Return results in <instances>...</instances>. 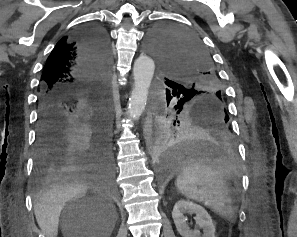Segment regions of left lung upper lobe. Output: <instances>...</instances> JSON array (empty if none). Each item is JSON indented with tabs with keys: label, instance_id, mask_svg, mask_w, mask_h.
<instances>
[{
	"label": "left lung upper lobe",
	"instance_id": "left-lung-upper-lobe-1",
	"mask_svg": "<svg viewBox=\"0 0 297 237\" xmlns=\"http://www.w3.org/2000/svg\"><path fill=\"white\" fill-rule=\"evenodd\" d=\"M150 50L168 78L165 85L178 91L187 105H210L228 119L225 94L211 55L200 39L173 25L155 27L148 39Z\"/></svg>",
	"mask_w": 297,
	"mask_h": 237
}]
</instances>
